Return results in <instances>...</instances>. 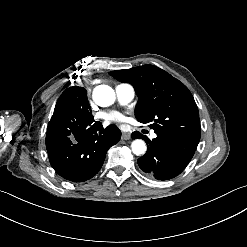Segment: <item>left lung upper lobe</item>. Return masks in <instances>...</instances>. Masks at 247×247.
Listing matches in <instances>:
<instances>
[{"label": "left lung upper lobe", "instance_id": "obj_1", "mask_svg": "<svg viewBox=\"0 0 247 247\" xmlns=\"http://www.w3.org/2000/svg\"><path fill=\"white\" fill-rule=\"evenodd\" d=\"M109 74L133 85L139 97L135 116L150 123L155 132H172L199 142L201 136L197 105L188 88L166 71L142 65Z\"/></svg>", "mask_w": 247, "mask_h": 247}]
</instances>
